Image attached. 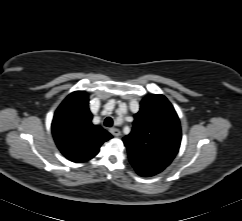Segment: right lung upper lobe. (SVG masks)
Wrapping results in <instances>:
<instances>
[{
    "instance_id": "1",
    "label": "right lung upper lobe",
    "mask_w": 242,
    "mask_h": 221,
    "mask_svg": "<svg viewBox=\"0 0 242 221\" xmlns=\"http://www.w3.org/2000/svg\"><path fill=\"white\" fill-rule=\"evenodd\" d=\"M88 103L85 92L71 93L56 110L52 122L53 137L59 150L76 163L96 156L100 146L112 138L101 126L92 124Z\"/></svg>"
}]
</instances>
